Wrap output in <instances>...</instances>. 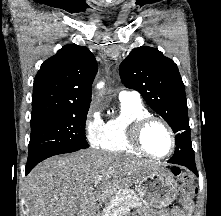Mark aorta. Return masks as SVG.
Returning <instances> with one entry per match:
<instances>
[{
	"instance_id": "762f6f07",
	"label": "aorta",
	"mask_w": 221,
	"mask_h": 216,
	"mask_svg": "<svg viewBox=\"0 0 221 216\" xmlns=\"http://www.w3.org/2000/svg\"><path fill=\"white\" fill-rule=\"evenodd\" d=\"M103 87V83H99L98 85H97V88H102Z\"/></svg>"
}]
</instances>
